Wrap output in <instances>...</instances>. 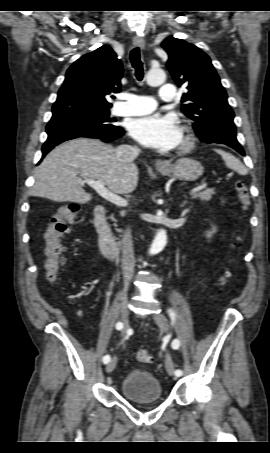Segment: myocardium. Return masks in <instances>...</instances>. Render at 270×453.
Returning a JSON list of instances; mask_svg holds the SVG:
<instances>
[{
    "label": "myocardium",
    "instance_id": "myocardium-1",
    "mask_svg": "<svg viewBox=\"0 0 270 453\" xmlns=\"http://www.w3.org/2000/svg\"><path fill=\"white\" fill-rule=\"evenodd\" d=\"M184 136L182 137V141L178 147V152L184 153L192 149L194 145L193 138L187 129L184 130Z\"/></svg>",
    "mask_w": 270,
    "mask_h": 453
}]
</instances>
